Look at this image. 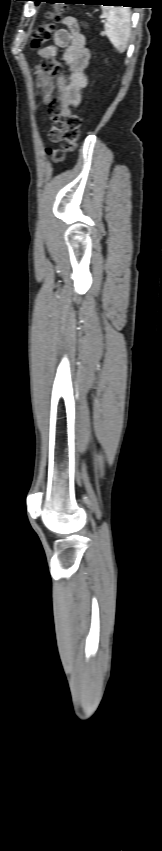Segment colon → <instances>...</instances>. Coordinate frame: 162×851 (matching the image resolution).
Wrapping results in <instances>:
<instances>
[{"instance_id": "colon-1", "label": "colon", "mask_w": 162, "mask_h": 851, "mask_svg": "<svg viewBox=\"0 0 162 851\" xmlns=\"http://www.w3.org/2000/svg\"><path fill=\"white\" fill-rule=\"evenodd\" d=\"M61 12L62 10L48 12L46 15L48 21L34 29L30 42L32 48H39L50 39L55 24L60 20ZM81 124L82 119L79 113H72L59 121L54 127L52 134L58 138L60 147L46 150V154L54 162H62L66 155L75 149Z\"/></svg>"}]
</instances>
